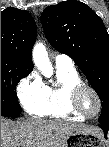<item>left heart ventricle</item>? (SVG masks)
Returning <instances> with one entry per match:
<instances>
[{
	"label": "left heart ventricle",
	"mask_w": 109,
	"mask_h": 147,
	"mask_svg": "<svg viewBox=\"0 0 109 147\" xmlns=\"http://www.w3.org/2000/svg\"><path fill=\"white\" fill-rule=\"evenodd\" d=\"M80 105L82 109L89 115H93L97 111V100L95 96L89 91L83 92L80 99Z\"/></svg>",
	"instance_id": "obj_1"
}]
</instances>
